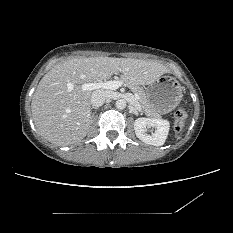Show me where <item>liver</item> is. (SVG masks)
<instances>
[{"label": "liver", "mask_w": 233, "mask_h": 233, "mask_svg": "<svg viewBox=\"0 0 233 233\" xmlns=\"http://www.w3.org/2000/svg\"><path fill=\"white\" fill-rule=\"evenodd\" d=\"M169 70L161 63L134 58L80 57L55 65L40 80L31 108L34 124L48 141L69 145L82 140L91 126L90 82L122 73L124 81L148 85Z\"/></svg>", "instance_id": "obj_1"}]
</instances>
